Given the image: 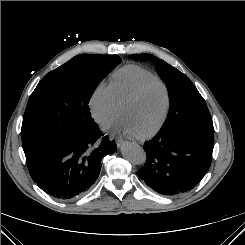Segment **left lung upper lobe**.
I'll list each match as a JSON object with an SVG mask.
<instances>
[{
  "label": "left lung upper lobe",
  "instance_id": "1",
  "mask_svg": "<svg viewBox=\"0 0 245 245\" xmlns=\"http://www.w3.org/2000/svg\"><path fill=\"white\" fill-rule=\"evenodd\" d=\"M130 58L155 63L159 76L167 86L170 108L160 132H168L180 124H192L214 131L205 100L185 74L151 54H133Z\"/></svg>",
  "mask_w": 245,
  "mask_h": 245
}]
</instances>
